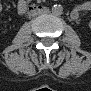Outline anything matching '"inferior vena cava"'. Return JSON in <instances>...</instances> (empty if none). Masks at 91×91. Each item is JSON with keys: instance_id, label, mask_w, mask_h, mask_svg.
Segmentation results:
<instances>
[{"instance_id": "602c4592", "label": "inferior vena cava", "mask_w": 91, "mask_h": 91, "mask_svg": "<svg viewBox=\"0 0 91 91\" xmlns=\"http://www.w3.org/2000/svg\"><path fill=\"white\" fill-rule=\"evenodd\" d=\"M38 15H48V10L39 9L32 11V16H38Z\"/></svg>"}]
</instances>
